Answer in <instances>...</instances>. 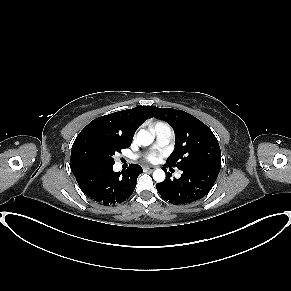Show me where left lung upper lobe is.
<instances>
[{
    "mask_svg": "<svg viewBox=\"0 0 291 291\" xmlns=\"http://www.w3.org/2000/svg\"><path fill=\"white\" fill-rule=\"evenodd\" d=\"M169 123L175 132V149L167 166L178 169L193 165L221 167L219 143L203 122L182 110L155 107L152 114Z\"/></svg>",
    "mask_w": 291,
    "mask_h": 291,
    "instance_id": "left-lung-upper-lobe-1",
    "label": "left lung upper lobe"
}]
</instances>
